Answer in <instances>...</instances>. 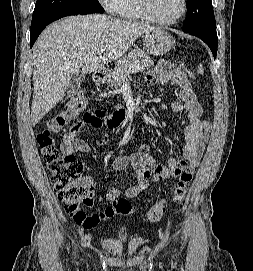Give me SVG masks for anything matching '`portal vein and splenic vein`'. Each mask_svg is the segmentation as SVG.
Masks as SVG:
<instances>
[{
	"instance_id": "obj_1",
	"label": "portal vein and splenic vein",
	"mask_w": 253,
	"mask_h": 271,
	"mask_svg": "<svg viewBox=\"0 0 253 271\" xmlns=\"http://www.w3.org/2000/svg\"><path fill=\"white\" fill-rule=\"evenodd\" d=\"M104 51H105V48L98 49V50H97V54H98V55H102V53H104ZM140 70H141V67H140L139 65H137V66H132V67L129 68V72H130V73H136V72H138V71H140Z\"/></svg>"
}]
</instances>
